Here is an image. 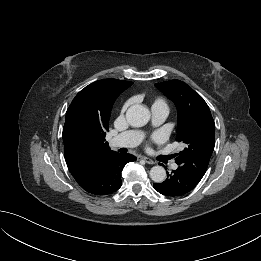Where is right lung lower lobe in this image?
Masks as SVG:
<instances>
[{
    "label": "right lung lower lobe",
    "instance_id": "1",
    "mask_svg": "<svg viewBox=\"0 0 261 261\" xmlns=\"http://www.w3.org/2000/svg\"><path fill=\"white\" fill-rule=\"evenodd\" d=\"M135 160L136 157L131 154L110 151L94 161L81 175L74 178L85 191L91 194H111L121 187V171L125 164Z\"/></svg>",
    "mask_w": 261,
    "mask_h": 261
}]
</instances>
